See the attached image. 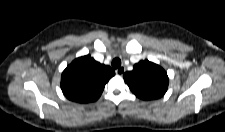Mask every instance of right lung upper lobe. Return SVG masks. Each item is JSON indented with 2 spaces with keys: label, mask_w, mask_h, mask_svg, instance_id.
Listing matches in <instances>:
<instances>
[{
  "label": "right lung upper lobe",
  "mask_w": 225,
  "mask_h": 132,
  "mask_svg": "<svg viewBox=\"0 0 225 132\" xmlns=\"http://www.w3.org/2000/svg\"><path fill=\"white\" fill-rule=\"evenodd\" d=\"M114 75L111 67L96 62L90 55L82 56L63 71L61 89L71 101L92 102L100 97L105 84Z\"/></svg>",
  "instance_id": "obj_1"
}]
</instances>
